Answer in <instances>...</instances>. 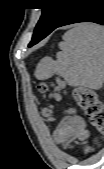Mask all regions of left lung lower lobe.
<instances>
[{
	"mask_svg": "<svg viewBox=\"0 0 104 169\" xmlns=\"http://www.w3.org/2000/svg\"><path fill=\"white\" fill-rule=\"evenodd\" d=\"M103 2V0H77V4L56 28L79 22H94L104 25ZM51 32L34 31L29 47L38 43Z\"/></svg>",
	"mask_w": 104,
	"mask_h": 169,
	"instance_id": "0a47b994",
	"label": "left lung lower lobe"
}]
</instances>
